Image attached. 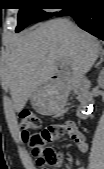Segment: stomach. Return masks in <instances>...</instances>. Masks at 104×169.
<instances>
[{"label":"stomach","instance_id":"obj_1","mask_svg":"<svg viewBox=\"0 0 104 169\" xmlns=\"http://www.w3.org/2000/svg\"><path fill=\"white\" fill-rule=\"evenodd\" d=\"M31 104L41 114H52L62 107V99L54 85L48 82L37 89Z\"/></svg>","mask_w":104,"mask_h":169}]
</instances>
